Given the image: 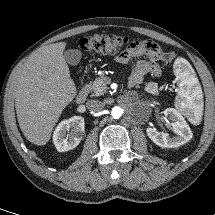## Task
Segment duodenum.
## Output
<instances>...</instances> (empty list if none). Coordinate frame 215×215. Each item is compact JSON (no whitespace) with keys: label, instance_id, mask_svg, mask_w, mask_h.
<instances>
[{"label":"duodenum","instance_id":"obj_1","mask_svg":"<svg viewBox=\"0 0 215 215\" xmlns=\"http://www.w3.org/2000/svg\"><path fill=\"white\" fill-rule=\"evenodd\" d=\"M87 97H88V87L84 85L79 91L76 97V101L77 103L82 104L86 101Z\"/></svg>","mask_w":215,"mask_h":215}]
</instances>
